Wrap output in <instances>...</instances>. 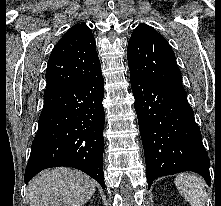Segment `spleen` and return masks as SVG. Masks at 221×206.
<instances>
[{"mask_svg":"<svg viewBox=\"0 0 221 206\" xmlns=\"http://www.w3.org/2000/svg\"><path fill=\"white\" fill-rule=\"evenodd\" d=\"M179 193L191 206H205L206 189L202 180L191 173H181L175 179Z\"/></svg>","mask_w":221,"mask_h":206,"instance_id":"1","label":"spleen"}]
</instances>
